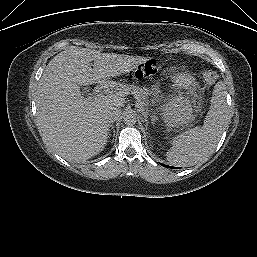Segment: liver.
Here are the masks:
<instances>
[{"mask_svg": "<svg viewBox=\"0 0 257 257\" xmlns=\"http://www.w3.org/2000/svg\"><path fill=\"white\" fill-rule=\"evenodd\" d=\"M146 60L80 47L57 54L37 88L38 126L44 141L67 161L82 162L100 153L109 135L105 113L120 109L125 100L120 91H110L97 100L85 98L80 86L103 83L107 88H118L110 77L126 74Z\"/></svg>", "mask_w": 257, "mask_h": 257, "instance_id": "liver-1", "label": "liver"}]
</instances>
